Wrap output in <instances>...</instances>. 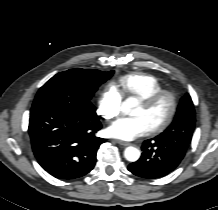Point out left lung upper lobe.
<instances>
[{
    "label": "left lung upper lobe",
    "mask_w": 218,
    "mask_h": 210,
    "mask_svg": "<svg viewBox=\"0 0 218 210\" xmlns=\"http://www.w3.org/2000/svg\"><path fill=\"white\" fill-rule=\"evenodd\" d=\"M195 128V110L189 94L182 97L171 125L158 138L167 142H181L189 146Z\"/></svg>",
    "instance_id": "left-lung-upper-lobe-1"
}]
</instances>
